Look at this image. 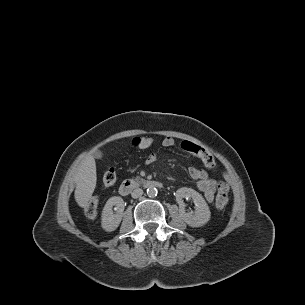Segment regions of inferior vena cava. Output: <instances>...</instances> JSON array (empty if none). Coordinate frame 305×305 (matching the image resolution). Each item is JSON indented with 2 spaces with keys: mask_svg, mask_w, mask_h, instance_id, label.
Returning <instances> with one entry per match:
<instances>
[{
  "mask_svg": "<svg viewBox=\"0 0 305 305\" xmlns=\"http://www.w3.org/2000/svg\"><path fill=\"white\" fill-rule=\"evenodd\" d=\"M142 195H143V190L140 189V188L134 189L133 192L131 193V196H132L133 198H139V197H141Z\"/></svg>",
  "mask_w": 305,
  "mask_h": 305,
  "instance_id": "1",
  "label": "inferior vena cava"
}]
</instances>
